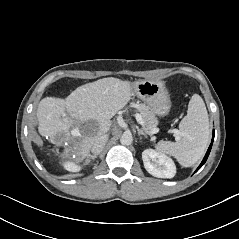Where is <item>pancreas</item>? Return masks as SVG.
<instances>
[{
    "mask_svg": "<svg viewBox=\"0 0 239 239\" xmlns=\"http://www.w3.org/2000/svg\"><path fill=\"white\" fill-rule=\"evenodd\" d=\"M136 109L139 111L145 122V129L150 131L157 127L158 120L155 117L154 113L149 109V107L145 104H136Z\"/></svg>",
    "mask_w": 239,
    "mask_h": 239,
    "instance_id": "pancreas-1",
    "label": "pancreas"
}]
</instances>
